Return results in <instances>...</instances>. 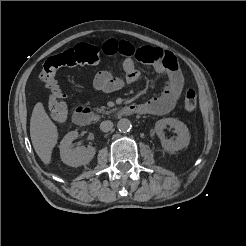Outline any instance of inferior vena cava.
Listing matches in <instances>:
<instances>
[{"label": "inferior vena cava", "mask_w": 246, "mask_h": 246, "mask_svg": "<svg viewBox=\"0 0 246 246\" xmlns=\"http://www.w3.org/2000/svg\"><path fill=\"white\" fill-rule=\"evenodd\" d=\"M113 128V123L109 120L107 121H103L101 122L100 124V129L103 131V132H108L110 131L111 129Z\"/></svg>", "instance_id": "obj_1"}]
</instances>
